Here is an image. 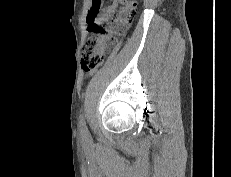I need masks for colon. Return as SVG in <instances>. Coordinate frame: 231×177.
<instances>
[{
    "mask_svg": "<svg viewBox=\"0 0 231 177\" xmlns=\"http://www.w3.org/2000/svg\"><path fill=\"white\" fill-rule=\"evenodd\" d=\"M119 1L123 5V8L118 17L114 20V23L118 27H125L132 21L136 0ZM98 10L99 5H97L90 14L89 30L91 35L86 40L82 49L81 64L83 71L86 73L92 72L103 63L106 49L112 41L113 26L103 27L95 23Z\"/></svg>",
    "mask_w": 231,
    "mask_h": 177,
    "instance_id": "1",
    "label": "colon"
}]
</instances>
